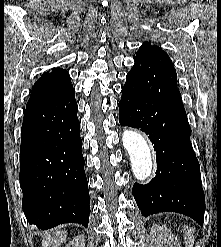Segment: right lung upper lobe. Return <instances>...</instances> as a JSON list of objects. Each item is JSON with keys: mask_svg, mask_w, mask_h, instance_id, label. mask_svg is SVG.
Returning <instances> with one entry per match:
<instances>
[{"mask_svg": "<svg viewBox=\"0 0 221 247\" xmlns=\"http://www.w3.org/2000/svg\"><path fill=\"white\" fill-rule=\"evenodd\" d=\"M73 89L68 72L54 68L39 78L31 91L26 107L58 97Z\"/></svg>", "mask_w": 221, "mask_h": 247, "instance_id": "cb5924a9", "label": "right lung upper lobe"}]
</instances>
